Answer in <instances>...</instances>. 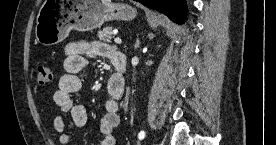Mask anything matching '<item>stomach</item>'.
<instances>
[{
  "instance_id": "1",
  "label": "stomach",
  "mask_w": 276,
  "mask_h": 145,
  "mask_svg": "<svg viewBox=\"0 0 276 145\" xmlns=\"http://www.w3.org/2000/svg\"><path fill=\"white\" fill-rule=\"evenodd\" d=\"M136 10L129 5L108 0H45L36 19V41L52 46L69 32L90 31L109 20H132Z\"/></svg>"
}]
</instances>
